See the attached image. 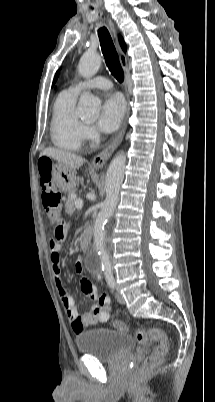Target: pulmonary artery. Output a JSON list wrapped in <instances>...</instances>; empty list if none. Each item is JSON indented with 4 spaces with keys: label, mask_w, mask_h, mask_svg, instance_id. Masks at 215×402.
I'll list each match as a JSON object with an SVG mask.
<instances>
[{
    "label": "pulmonary artery",
    "mask_w": 215,
    "mask_h": 402,
    "mask_svg": "<svg viewBox=\"0 0 215 402\" xmlns=\"http://www.w3.org/2000/svg\"><path fill=\"white\" fill-rule=\"evenodd\" d=\"M111 82L102 76H97L86 81H80L72 85L69 89L76 94H79L85 89L97 88V89H109L111 88Z\"/></svg>",
    "instance_id": "e3ab8cb5"
}]
</instances>
